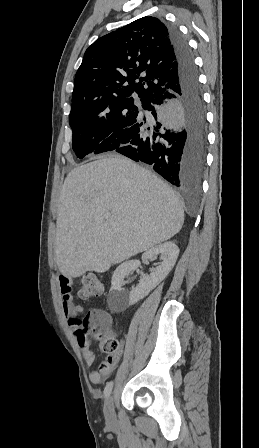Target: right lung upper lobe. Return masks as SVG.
<instances>
[{
  "label": "right lung upper lobe",
  "mask_w": 259,
  "mask_h": 448,
  "mask_svg": "<svg viewBox=\"0 0 259 448\" xmlns=\"http://www.w3.org/2000/svg\"><path fill=\"white\" fill-rule=\"evenodd\" d=\"M168 29L146 16L97 39L75 76L71 114L144 104L178 87Z\"/></svg>",
  "instance_id": "cb5924a9"
}]
</instances>
